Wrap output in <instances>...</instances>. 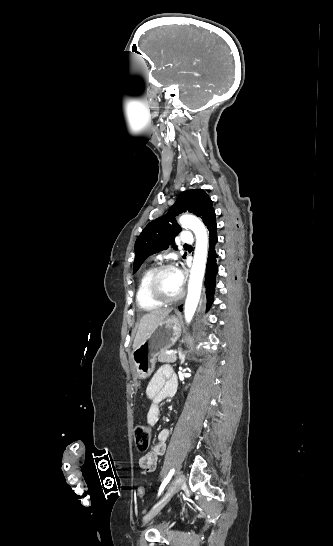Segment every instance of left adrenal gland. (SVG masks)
I'll use <instances>...</instances> for the list:
<instances>
[{"label":"left adrenal gland","instance_id":"a2214340","mask_svg":"<svg viewBox=\"0 0 333 546\" xmlns=\"http://www.w3.org/2000/svg\"><path fill=\"white\" fill-rule=\"evenodd\" d=\"M179 359H180V364H183L185 361V354H183L181 350L179 351Z\"/></svg>","mask_w":333,"mask_h":546}]
</instances>
